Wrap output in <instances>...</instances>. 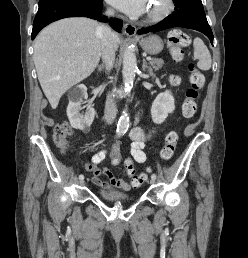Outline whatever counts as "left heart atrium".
<instances>
[{
    "label": "left heart atrium",
    "mask_w": 248,
    "mask_h": 258,
    "mask_svg": "<svg viewBox=\"0 0 248 258\" xmlns=\"http://www.w3.org/2000/svg\"><path fill=\"white\" fill-rule=\"evenodd\" d=\"M111 4L131 16L144 14L149 7L150 0H108Z\"/></svg>",
    "instance_id": "obj_1"
}]
</instances>
